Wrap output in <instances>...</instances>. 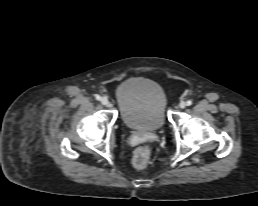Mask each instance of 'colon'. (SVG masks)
I'll use <instances>...</instances> for the list:
<instances>
[{"label":"colon","instance_id":"5ec220e1","mask_svg":"<svg viewBox=\"0 0 258 206\" xmlns=\"http://www.w3.org/2000/svg\"><path fill=\"white\" fill-rule=\"evenodd\" d=\"M152 163V153L147 145L140 146L133 155V164L138 168H144Z\"/></svg>","mask_w":258,"mask_h":206}]
</instances>
